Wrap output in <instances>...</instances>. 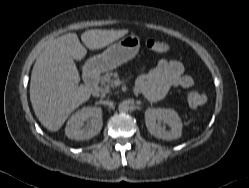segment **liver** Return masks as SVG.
<instances>
[{
	"label": "liver",
	"mask_w": 249,
	"mask_h": 188,
	"mask_svg": "<svg viewBox=\"0 0 249 188\" xmlns=\"http://www.w3.org/2000/svg\"><path fill=\"white\" fill-rule=\"evenodd\" d=\"M124 30H88L81 40L90 50L104 48L128 33ZM87 54L76 33H68L48 43L33 66L30 100L36 117L49 131H58L69 115L89 100L91 91L79 85L74 60Z\"/></svg>",
	"instance_id": "obj_1"
}]
</instances>
